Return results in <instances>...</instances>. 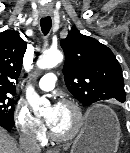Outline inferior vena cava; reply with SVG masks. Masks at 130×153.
Here are the masks:
<instances>
[{
    "label": "inferior vena cava",
    "mask_w": 130,
    "mask_h": 153,
    "mask_svg": "<svg viewBox=\"0 0 130 153\" xmlns=\"http://www.w3.org/2000/svg\"><path fill=\"white\" fill-rule=\"evenodd\" d=\"M20 149L22 153H40L41 147L36 136L28 130H25L20 139Z\"/></svg>",
    "instance_id": "obj_1"
}]
</instances>
